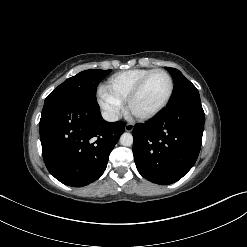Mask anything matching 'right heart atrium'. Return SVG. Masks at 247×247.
Returning <instances> with one entry per match:
<instances>
[{"mask_svg":"<svg viewBox=\"0 0 247 247\" xmlns=\"http://www.w3.org/2000/svg\"><path fill=\"white\" fill-rule=\"evenodd\" d=\"M98 102L106 114L115 119L123 110V104L105 88H101L98 92Z\"/></svg>","mask_w":247,"mask_h":247,"instance_id":"obj_1","label":"right heart atrium"}]
</instances>
